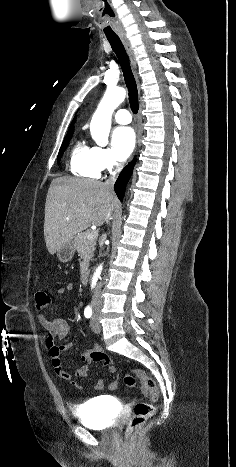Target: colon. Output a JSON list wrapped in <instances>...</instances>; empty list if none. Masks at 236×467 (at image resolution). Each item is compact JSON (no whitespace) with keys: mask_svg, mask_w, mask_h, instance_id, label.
Segmentation results:
<instances>
[{"mask_svg":"<svg viewBox=\"0 0 236 467\" xmlns=\"http://www.w3.org/2000/svg\"><path fill=\"white\" fill-rule=\"evenodd\" d=\"M36 309L39 312L45 311L51 304V298L46 290L38 289L35 292ZM91 357L94 360L102 361L106 359V354L103 352H94ZM137 381L142 383L145 391L150 394L152 401H156L159 396V391L154 380L148 374L137 368L130 369L124 376L123 382L126 387L133 388ZM154 405L147 402H137L133 408V417L126 425L123 437L126 441H130L135 432L141 428L146 421L154 414Z\"/></svg>","mask_w":236,"mask_h":467,"instance_id":"5ec220e1","label":"colon"}]
</instances>
